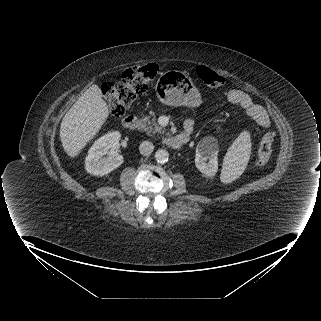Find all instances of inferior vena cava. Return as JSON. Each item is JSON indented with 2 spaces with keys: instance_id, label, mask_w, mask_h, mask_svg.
Masks as SVG:
<instances>
[{
  "instance_id": "1",
  "label": "inferior vena cava",
  "mask_w": 321,
  "mask_h": 321,
  "mask_svg": "<svg viewBox=\"0 0 321 321\" xmlns=\"http://www.w3.org/2000/svg\"><path fill=\"white\" fill-rule=\"evenodd\" d=\"M154 150V145L149 141H143L139 146V151L144 156H149Z\"/></svg>"
}]
</instances>
